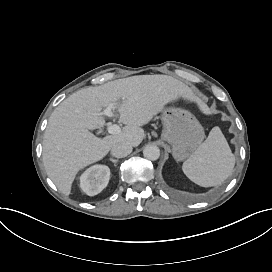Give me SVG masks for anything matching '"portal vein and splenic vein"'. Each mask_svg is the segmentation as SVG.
Instances as JSON below:
<instances>
[{
    "label": "portal vein and splenic vein",
    "instance_id": "obj_1",
    "mask_svg": "<svg viewBox=\"0 0 272 272\" xmlns=\"http://www.w3.org/2000/svg\"><path fill=\"white\" fill-rule=\"evenodd\" d=\"M119 102H113V103H110L105 109L103 112H100L99 115H106V116H109V117H112L113 116V113H112V109L115 108L117 105H118ZM108 131L109 133H112V134H118L121 132V128L114 124V125H111L109 128H108Z\"/></svg>",
    "mask_w": 272,
    "mask_h": 272
}]
</instances>
